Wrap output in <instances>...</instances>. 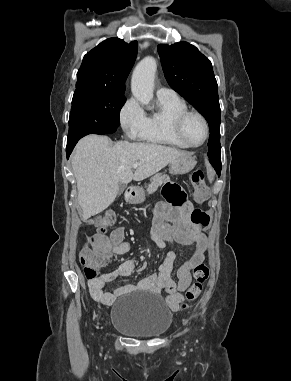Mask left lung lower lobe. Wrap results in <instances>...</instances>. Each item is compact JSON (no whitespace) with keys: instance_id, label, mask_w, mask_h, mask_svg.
<instances>
[{"instance_id":"1","label":"left lung lower lobe","mask_w":291,"mask_h":381,"mask_svg":"<svg viewBox=\"0 0 291 381\" xmlns=\"http://www.w3.org/2000/svg\"><path fill=\"white\" fill-rule=\"evenodd\" d=\"M210 163L213 165V167L215 168L218 176H220V173H221V159H209Z\"/></svg>"}]
</instances>
